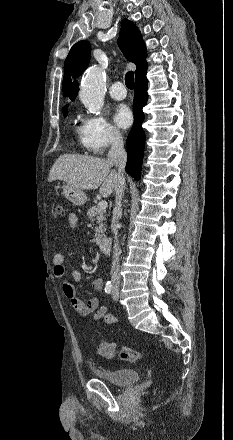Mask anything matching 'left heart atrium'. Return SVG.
<instances>
[{
  "mask_svg": "<svg viewBox=\"0 0 233 440\" xmlns=\"http://www.w3.org/2000/svg\"><path fill=\"white\" fill-rule=\"evenodd\" d=\"M113 119L120 128H128L133 121L132 113L126 105H118L114 109Z\"/></svg>",
  "mask_w": 233,
  "mask_h": 440,
  "instance_id": "obj_1",
  "label": "left heart atrium"
}]
</instances>
